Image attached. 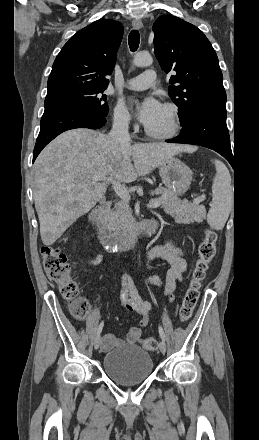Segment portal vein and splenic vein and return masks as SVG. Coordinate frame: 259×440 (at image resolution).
Here are the masks:
<instances>
[{
	"label": "portal vein and splenic vein",
	"mask_w": 259,
	"mask_h": 440,
	"mask_svg": "<svg viewBox=\"0 0 259 440\" xmlns=\"http://www.w3.org/2000/svg\"><path fill=\"white\" fill-rule=\"evenodd\" d=\"M94 180H108L112 183L113 185V189L115 191V193L123 200V201H129L130 200V195L128 190L121 185V183L115 181L112 177H105L103 175H97L95 177H93ZM202 199L200 201H203L205 199V195L201 196ZM161 205V202L157 199L155 200H151L149 202V204L147 205L148 208H158Z\"/></svg>",
	"instance_id": "18ae733b"
}]
</instances>
